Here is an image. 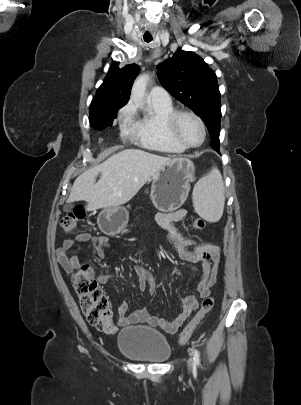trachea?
<instances>
[{
  "label": "trachea",
  "instance_id": "3493384b",
  "mask_svg": "<svg viewBox=\"0 0 301 405\" xmlns=\"http://www.w3.org/2000/svg\"><path fill=\"white\" fill-rule=\"evenodd\" d=\"M152 40H153V38H152L151 35L148 36V37H144V41L147 42V43L151 42Z\"/></svg>",
  "mask_w": 301,
  "mask_h": 405
}]
</instances>
